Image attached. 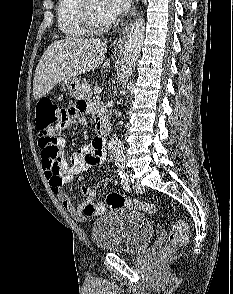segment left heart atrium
I'll list each match as a JSON object with an SVG mask.
<instances>
[{
	"mask_svg": "<svg viewBox=\"0 0 233 294\" xmlns=\"http://www.w3.org/2000/svg\"><path fill=\"white\" fill-rule=\"evenodd\" d=\"M132 0H103L107 15L115 20L123 15L130 7Z\"/></svg>",
	"mask_w": 233,
	"mask_h": 294,
	"instance_id": "1",
	"label": "left heart atrium"
}]
</instances>
